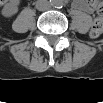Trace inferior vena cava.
I'll return each instance as SVG.
<instances>
[{
    "instance_id": "obj_1",
    "label": "inferior vena cava",
    "mask_w": 103,
    "mask_h": 103,
    "mask_svg": "<svg viewBox=\"0 0 103 103\" xmlns=\"http://www.w3.org/2000/svg\"><path fill=\"white\" fill-rule=\"evenodd\" d=\"M36 8L39 11H45L48 10L50 8V3L47 0H38L36 2Z\"/></svg>"
}]
</instances>
